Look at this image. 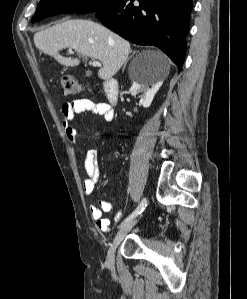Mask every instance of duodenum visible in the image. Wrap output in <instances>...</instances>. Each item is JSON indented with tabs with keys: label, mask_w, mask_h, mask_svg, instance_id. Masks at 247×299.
I'll return each mask as SVG.
<instances>
[{
	"label": "duodenum",
	"mask_w": 247,
	"mask_h": 299,
	"mask_svg": "<svg viewBox=\"0 0 247 299\" xmlns=\"http://www.w3.org/2000/svg\"><path fill=\"white\" fill-rule=\"evenodd\" d=\"M104 92L111 105H115L119 99V84L115 79H108L103 83Z\"/></svg>",
	"instance_id": "duodenum-1"
}]
</instances>
